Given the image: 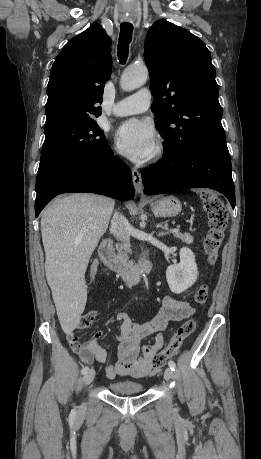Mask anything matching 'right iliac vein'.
I'll list each match as a JSON object with an SVG mask.
<instances>
[{
	"instance_id": "63e3f726",
	"label": "right iliac vein",
	"mask_w": 261,
	"mask_h": 459,
	"mask_svg": "<svg viewBox=\"0 0 261 459\" xmlns=\"http://www.w3.org/2000/svg\"><path fill=\"white\" fill-rule=\"evenodd\" d=\"M94 377H95V370L94 369L88 370L83 377V383L85 385L90 384L93 381Z\"/></svg>"
}]
</instances>
